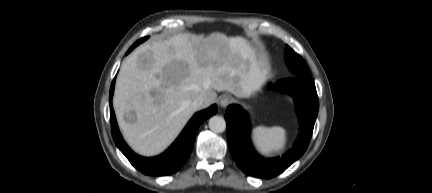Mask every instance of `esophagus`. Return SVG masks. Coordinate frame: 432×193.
Here are the masks:
<instances>
[{"instance_id":"obj_1","label":"esophagus","mask_w":432,"mask_h":193,"mask_svg":"<svg viewBox=\"0 0 432 193\" xmlns=\"http://www.w3.org/2000/svg\"><path fill=\"white\" fill-rule=\"evenodd\" d=\"M232 102V98L229 96H224L220 99L219 104L221 107L225 108Z\"/></svg>"}]
</instances>
